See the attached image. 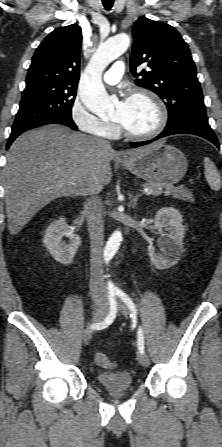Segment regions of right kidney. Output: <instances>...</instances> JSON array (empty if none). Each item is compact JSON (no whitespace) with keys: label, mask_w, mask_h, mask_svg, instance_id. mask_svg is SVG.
Returning <instances> with one entry per match:
<instances>
[{"label":"right kidney","mask_w":222,"mask_h":447,"mask_svg":"<svg viewBox=\"0 0 222 447\" xmlns=\"http://www.w3.org/2000/svg\"><path fill=\"white\" fill-rule=\"evenodd\" d=\"M64 236L69 237V244L62 240ZM43 243L57 262L68 265L73 261L81 245V238L73 233L67 225L65 218H59L47 228L43 237Z\"/></svg>","instance_id":"right-kidney-1"}]
</instances>
